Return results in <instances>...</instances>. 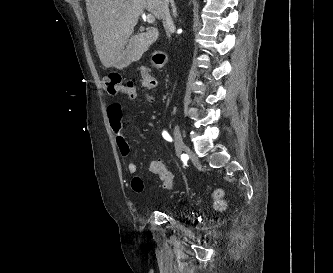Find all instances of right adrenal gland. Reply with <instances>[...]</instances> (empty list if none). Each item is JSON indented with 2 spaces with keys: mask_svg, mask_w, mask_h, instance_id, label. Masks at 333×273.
<instances>
[{
  "mask_svg": "<svg viewBox=\"0 0 333 273\" xmlns=\"http://www.w3.org/2000/svg\"><path fill=\"white\" fill-rule=\"evenodd\" d=\"M170 3H171V7H172L173 17H177V8L175 6L174 0H170Z\"/></svg>",
  "mask_w": 333,
  "mask_h": 273,
  "instance_id": "right-adrenal-gland-1",
  "label": "right adrenal gland"
}]
</instances>
